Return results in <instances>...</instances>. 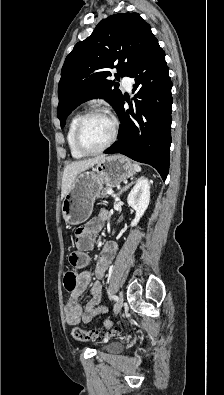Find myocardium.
Returning a JSON list of instances; mask_svg holds the SVG:
<instances>
[{
  "label": "myocardium",
  "mask_w": 224,
  "mask_h": 395,
  "mask_svg": "<svg viewBox=\"0 0 224 395\" xmlns=\"http://www.w3.org/2000/svg\"><path fill=\"white\" fill-rule=\"evenodd\" d=\"M94 115H102V116L108 118L112 123V133H111L109 140L102 147L95 149V150H89L82 143L81 131H82L84 122L89 117L94 116ZM118 132H119V121L111 112H109L108 110L103 109V108H92V109L86 111L84 114H82L80 116L79 120L77 121L76 128H75V136H74L76 148L84 155L99 154V153L107 150L116 141Z\"/></svg>",
  "instance_id": "obj_1"
}]
</instances>
